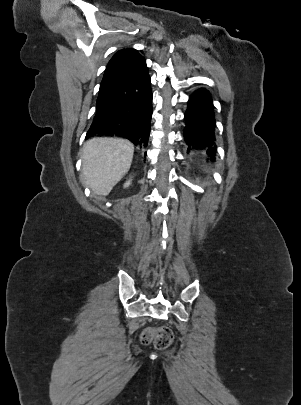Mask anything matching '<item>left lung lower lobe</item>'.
<instances>
[{"mask_svg": "<svg viewBox=\"0 0 301 405\" xmlns=\"http://www.w3.org/2000/svg\"><path fill=\"white\" fill-rule=\"evenodd\" d=\"M213 108L212 98L206 89L195 91L188 102L184 131V139L189 147L194 149L207 148V153L212 156L216 153Z\"/></svg>", "mask_w": 301, "mask_h": 405, "instance_id": "1", "label": "left lung lower lobe"}]
</instances>
